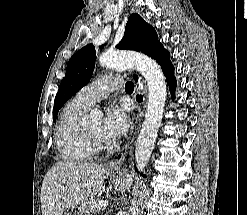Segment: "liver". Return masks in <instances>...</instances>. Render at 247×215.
<instances>
[{"instance_id": "liver-1", "label": "liver", "mask_w": 247, "mask_h": 215, "mask_svg": "<svg viewBox=\"0 0 247 215\" xmlns=\"http://www.w3.org/2000/svg\"><path fill=\"white\" fill-rule=\"evenodd\" d=\"M103 165L57 162L45 175L41 188L43 215H63L104 190Z\"/></svg>"}]
</instances>
